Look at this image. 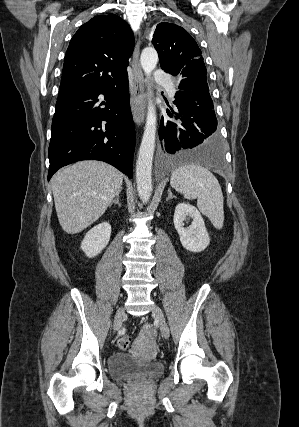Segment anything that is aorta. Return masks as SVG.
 <instances>
[{"instance_id": "obj_1", "label": "aorta", "mask_w": 299, "mask_h": 427, "mask_svg": "<svg viewBox=\"0 0 299 427\" xmlns=\"http://www.w3.org/2000/svg\"><path fill=\"white\" fill-rule=\"evenodd\" d=\"M158 62L157 51L152 47L143 49L140 57L142 69L150 77ZM149 95L151 91L149 90ZM157 115L155 106L149 101L145 130L136 161V183L139 198L143 203L149 202L152 194V161L155 150Z\"/></svg>"}]
</instances>
